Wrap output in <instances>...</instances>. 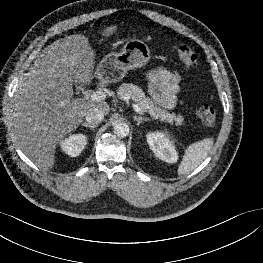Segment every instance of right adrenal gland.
<instances>
[{
  "mask_svg": "<svg viewBox=\"0 0 263 263\" xmlns=\"http://www.w3.org/2000/svg\"><path fill=\"white\" fill-rule=\"evenodd\" d=\"M81 125L84 126V127H88L90 129H94L97 126V125H91V124H88V123H82Z\"/></svg>",
  "mask_w": 263,
  "mask_h": 263,
  "instance_id": "obj_1",
  "label": "right adrenal gland"
}]
</instances>
